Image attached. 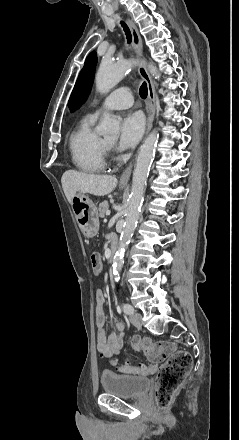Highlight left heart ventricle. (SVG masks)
<instances>
[{
    "instance_id": "left-heart-ventricle-1",
    "label": "left heart ventricle",
    "mask_w": 239,
    "mask_h": 440,
    "mask_svg": "<svg viewBox=\"0 0 239 440\" xmlns=\"http://www.w3.org/2000/svg\"><path fill=\"white\" fill-rule=\"evenodd\" d=\"M115 138H105V141L108 143H112Z\"/></svg>"
}]
</instances>
